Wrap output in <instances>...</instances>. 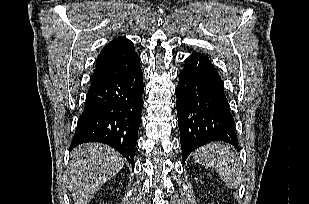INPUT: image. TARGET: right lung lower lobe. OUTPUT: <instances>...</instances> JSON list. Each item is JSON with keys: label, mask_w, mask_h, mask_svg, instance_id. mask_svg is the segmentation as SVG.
<instances>
[{"label": "right lung lower lobe", "mask_w": 309, "mask_h": 204, "mask_svg": "<svg viewBox=\"0 0 309 204\" xmlns=\"http://www.w3.org/2000/svg\"><path fill=\"white\" fill-rule=\"evenodd\" d=\"M143 73L140 65L92 84L79 117L71 148L100 142L120 152L134 167V148L141 122Z\"/></svg>", "instance_id": "1"}]
</instances>
